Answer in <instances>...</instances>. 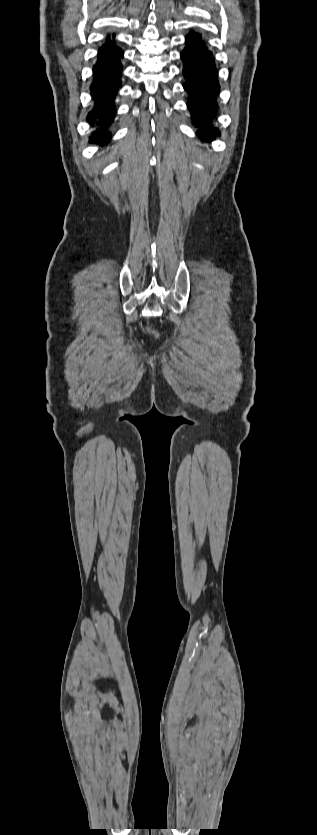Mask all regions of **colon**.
<instances>
[{
    "label": "colon",
    "instance_id": "obj_1",
    "mask_svg": "<svg viewBox=\"0 0 317 835\" xmlns=\"http://www.w3.org/2000/svg\"><path fill=\"white\" fill-rule=\"evenodd\" d=\"M147 330H148V331H149L152 335H154V336H157V335H158V334H157V332H156L154 329L150 328V327H148V328H147Z\"/></svg>",
    "mask_w": 317,
    "mask_h": 835
}]
</instances>
